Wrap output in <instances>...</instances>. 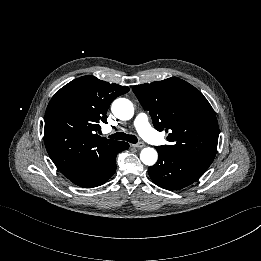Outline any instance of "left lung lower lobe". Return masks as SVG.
<instances>
[{
    "mask_svg": "<svg viewBox=\"0 0 261 261\" xmlns=\"http://www.w3.org/2000/svg\"><path fill=\"white\" fill-rule=\"evenodd\" d=\"M158 151L155 165L148 168L151 179L168 190H179L198 180L210 163L175 153Z\"/></svg>",
    "mask_w": 261,
    "mask_h": 261,
    "instance_id": "obj_1",
    "label": "left lung lower lobe"
}]
</instances>
